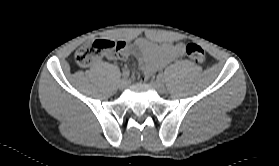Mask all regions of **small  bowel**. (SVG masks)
<instances>
[{
  "mask_svg": "<svg viewBox=\"0 0 279 166\" xmlns=\"http://www.w3.org/2000/svg\"><path fill=\"white\" fill-rule=\"evenodd\" d=\"M184 45L182 43H156L146 38H139L130 48H125L120 53L107 55L108 59L119 58L125 60L133 54L146 77L163 68L174 59L182 56Z\"/></svg>",
  "mask_w": 279,
  "mask_h": 166,
  "instance_id": "1",
  "label": "small bowel"
}]
</instances>
